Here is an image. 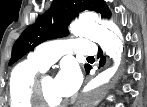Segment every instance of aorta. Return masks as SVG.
<instances>
[{"instance_id": "obj_1", "label": "aorta", "mask_w": 147, "mask_h": 107, "mask_svg": "<svg viewBox=\"0 0 147 107\" xmlns=\"http://www.w3.org/2000/svg\"><path fill=\"white\" fill-rule=\"evenodd\" d=\"M71 34L84 37L98 43L116 63L120 60L123 52L122 38L112 23H96L95 20L82 18L73 22L69 28ZM115 74V66L104 70L97 78L92 80L86 87L82 96L85 107L96 106L109 89V79Z\"/></svg>"}]
</instances>
